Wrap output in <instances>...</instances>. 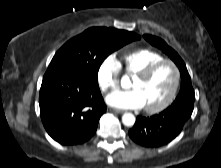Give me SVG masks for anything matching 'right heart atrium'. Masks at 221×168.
Listing matches in <instances>:
<instances>
[{
	"instance_id": "right-heart-atrium-1",
	"label": "right heart atrium",
	"mask_w": 221,
	"mask_h": 168,
	"mask_svg": "<svg viewBox=\"0 0 221 168\" xmlns=\"http://www.w3.org/2000/svg\"><path fill=\"white\" fill-rule=\"evenodd\" d=\"M120 64L113 54L106 56L97 69V82L103 92L117 89L119 85Z\"/></svg>"
}]
</instances>
